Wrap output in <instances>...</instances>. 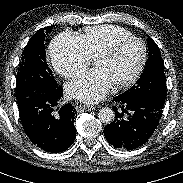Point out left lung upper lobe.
<instances>
[{
	"label": "left lung upper lobe",
	"instance_id": "1",
	"mask_svg": "<svg viewBox=\"0 0 183 183\" xmlns=\"http://www.w3.org/2000/svg\"><path fill=\"white\" fill-rule=\"evenodd\" d=\"M149 58L136 85L123 93L124 96L147 101L163 109L166 98L164 62L153 39L148 38Z\"/></svg>",
	"mask_w": 183,
	"mask_h": 183
}]
</instances>
